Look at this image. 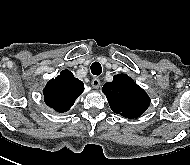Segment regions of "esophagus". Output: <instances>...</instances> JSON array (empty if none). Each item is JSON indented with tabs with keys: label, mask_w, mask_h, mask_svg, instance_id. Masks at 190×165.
<instances>
[{
	"label": "esophagus",
	"mask_w": 190,
	"mask_h": 165,
	"mask_svg": "<svg viewBox=\"0 0 190 165\" xmlns=\"http://www.w3.org/2000/svg\"><path fill=\"white\" fill-rule=\"evenodd\" d=\"M91 85L94 89H98L101 85V82L98 78H93L92 79V82H91Z\"/></svg>",
	"instance_id": "obj_1"
}]
</instances>
